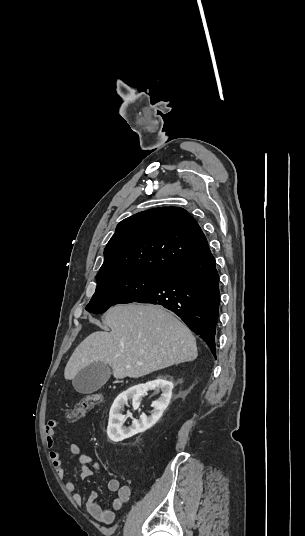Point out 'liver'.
<instances>
[{
    "label": "liver",
    "mask_w": 305,
    "mask_h": 536,
    "mask_svg": "<svg viewBox=\"0 0 305 536\" xmlns=\"http://www.w3.org/2000/svg\"><path fill=\"white\" fill-rule=\"evenodd\" d=\"M103 322L111 332H94L77 346L64 370L65 380H73L94 362L109 364L114 378L122 380L197 358L189 328L162 306L118 304Z\"/></svg>",
    "instance_id": "obj_1"
}]
</instances>
